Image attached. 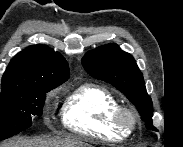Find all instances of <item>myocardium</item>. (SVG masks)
Instances as JSON below:
<instances>
[{
    "mask_svg": "<svg viewBox=\"0 0 183 147\" xmlns=\"http://www.w3.org/2000/svg\"><path fill=\"white\" fill-rule=\"evenodd\" d=\"M111 122L118 129L130 133L137 129L140 120L135 110L118 105L111 113Z\"/></svg>",
    "mask_w": 183,
    "mask_h": 147,
    "instance_id": "obj_1",
    "label": "myocardium"
}]
</instances>
